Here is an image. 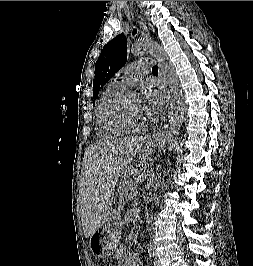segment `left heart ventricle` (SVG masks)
<instances>
[{
    "label": "left heart ventricle",
    "instance_id": "left-heart-ventricle-1",
    "mask_svg": "<svg viewBox=\"0 0 253 266\" xmlns=\"http://www.w3.org/2000/svg\"><path fill=\"white\" fill-rule=\"evenodd\" d=\"M125 111L127 116L134 122H138L144 119V115L139 103V96L136 93H132L126 100Z\"/></svg>",
    "mask_w": 253,
    "mask_h": 266
}]
</instances>
